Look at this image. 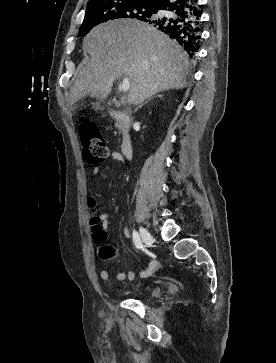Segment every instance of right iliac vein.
Returning <instances> with one entry per match:
<instances>
[{
  "instance_id": "right-iliac-vein-1",
  "label": "right iliac vein",
  "mask_w": 276,
  "mask_h": 363,
  "mask_svg": "<svg viewBox=\"0 0 276 363\" xmlns=\"http://www.w3.org/2000/svg\"><path fill=\"white\" fill-rule=\"evenodd\" d=\"M140 235L146 246L150 247L153 244L154 242L153 237L151 236V234L148 232L147 229L140 227Z\"/></svg>"
}]
</instances>
